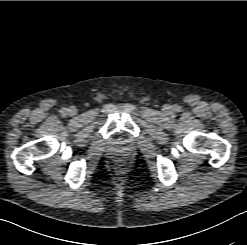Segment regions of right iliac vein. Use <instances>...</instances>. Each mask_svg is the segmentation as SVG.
Segmentation results:
<instances>
[{"label":"right iliac vein","instance_id":"obj_1","mask_svg":"<svg viewBox=\"0 0 247 245\" xmlns=\"http://www.w3.org/2000/svg\"><path fill=\"white\" fill-rule=\"evenodd\" d=\"M67 112L69 115L74 116L77 113V109L74 106H71Z\"/></svg>","mask_w":247,"mask_h":245}]
</instances>
